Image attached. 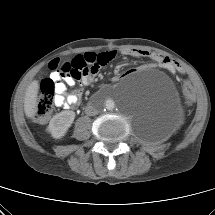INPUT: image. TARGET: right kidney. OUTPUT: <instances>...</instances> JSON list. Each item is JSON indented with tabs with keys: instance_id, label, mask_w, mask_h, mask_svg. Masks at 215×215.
<instances>
[{
	"instance_id": "right-kidney-1",
	"label": "right kidney",
	"mask_w": 215,
	"mask_h": 215,
	"mask_svg": "<svg viewBox=\"0 0 215 215\" xmlns=\"http://www.w3.org/2000/svg\"><path fill=\"white\" fill-rule=\"evenodd\" d=\"M74 118L75 113L73 111H62L53 116L47 130L51 133L53 138L60 139L67 133Z\"/></svg>"
}]
</instances>
